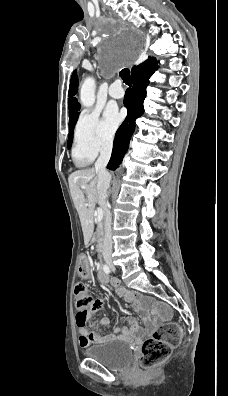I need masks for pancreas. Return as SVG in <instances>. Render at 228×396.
Segmentation results:
<instances>
[{"instance_id":"obj_1","label":"pancreas","mask_w":228,"mask_h":396,"mask_svg":"<svg viewBox=\"0 0 228 396\" xmlns=\"http://www.w3.org/2000/svg\"><path fill=\"white\" fill-rule=\"evenodd\" d=\"M103 237H104L103 224L101 222H98L97 228L95 229V233L93 234L90 244L94 245L96 243V250L99 254H101L102 252Z\"/></svg>"}]
</instances>
